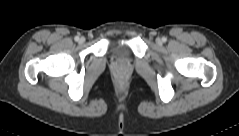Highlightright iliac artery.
Returning a JSON list of instances; mask_svg holds the SVG:
<instances>
[{"label": "right iliac artery", "instance_id": "82829eb1", "mask_svg": "<svg viewBox=\"0 0 239 136\" xmlns=\"http://www.w3.org/2000/svg\"><path fill=\"white\" fill-rule=\"evenodd\" d=\"M74 39H75V41H79V37L78 36H76Z\"/></svg>", "mask_w": 239, "mask_h": 136}]
</instances>
